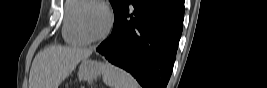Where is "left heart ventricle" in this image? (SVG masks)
<instances>
[{
  "label": "left heart ventricle",
  "instance_id": "b2bd125f",
  "mask_svg": "<svg viewBox=\"0 0 267 88\" xmlns=\"http://www.w3.org/2000/svg\"><path fill=\"white\" fill-rule=\"evenodd\" d=\"M83 25L91 37L100 35L107 26V14L99 6H87L83 12Z\"/></svg>",
  "mask_w": 267,
  "mask_h": 88
}]
</instances>
